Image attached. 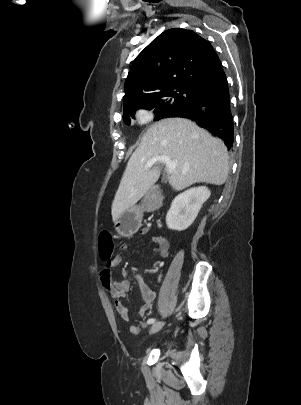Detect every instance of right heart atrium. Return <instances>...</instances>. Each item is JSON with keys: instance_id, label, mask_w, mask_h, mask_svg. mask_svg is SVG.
<instances>
[{"instance_id": "d8ad5b80", "label": "right heart atrium", "mask_w": 301, "mask_h": 405, "mask_svg": "<svg viewBox=\"0 0 301 405\" xmlns=\"http://www.w3.org/2000/svg\"><path fill=\"white\" fill-rule=\"evenodd\" d=\"M152 117H153V113L149 109H140L136 113V120L141 124L147 123L148 121H150L152 119Z\"/></svg>"}]
</instances>
